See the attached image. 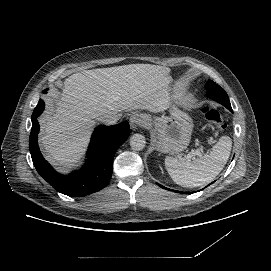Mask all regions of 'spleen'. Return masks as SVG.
Masks as SVG:
<instances>
[{
    "label": "spleen",
    "instance_id": "3e777b00",
    "mask_svg": "<svg viewBox=\"0 0 271 271\" xmlns=\"http://www.w3.org/2000/svg\"><path fill=\"white\" fill-rule=\"evenodd\" d=\"M231 148V138L223 136L212 147L209 154L193 161L167 156L165 166L176 184L189 188L201 186L210 182L222 171L230 156Z\"/></svg>",
    "mask_w": 271,
    "mask_h": 271
}]
</instances>
